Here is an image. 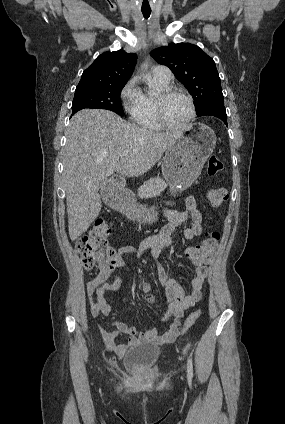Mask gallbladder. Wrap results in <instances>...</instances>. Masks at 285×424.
Returning <instances> with one entry per match:
<instances>
[{"label": "gallbladder", "mask_w": 285, "mask_h": 424, "mask_svg": "<svg viewBox=\"0 0 285 424\" xmlns=\"http://www.w3.org/2000/svg\"><path fill=\"white\" fill-rule=\"evenodd\" d=\"M109 184V180L108 179H104L100 182L99 187L101 189V191L103 192V190H105V187Z\"/></svg>", "instance_id": "obj_1"}]
</instances>
